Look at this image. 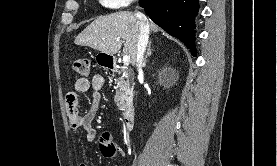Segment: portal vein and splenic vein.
<instances>
[{"label":"portal vein and splenic vein","mask_w":277,"mask_h":166,"mask_svg":"<svg viewBox=\"0 0 277 166\" xmlns=\"http://www.w3.org/2000/svg\"><path fill=\"white\" fill-rule=\"evenodd\" d=\"M117 41H120V39H117ZM123 63H124L125 66L129 65V63H130V56L129 55H125L123 57Z\"/></svg>","instance_id":"obj_1"}]
</instances>
